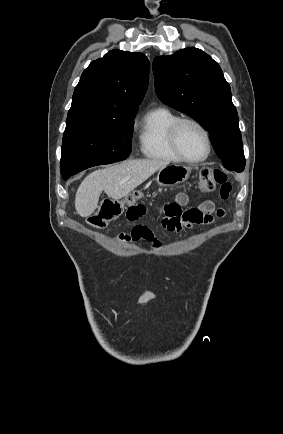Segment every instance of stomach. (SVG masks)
<instances>
[{
    "label": "stomach",
    "mask_w": 283,
    "mask_h": 434,
    "mask_svg": "<svg viewBox=\"0 0 283 434\" xmlns=\"http://www.w3.org/2000/svg\"><path fill=\"white\" fill-rule=\"evenodd\" d=\"M191 173V169L184 165H168L160 169L157 175V183L163 187L175 186L185 182Z\"/></svg>",
    "instance_id": "stomach-1"
}]
</instances>
